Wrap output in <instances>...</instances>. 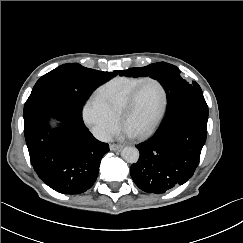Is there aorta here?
<instances>
[{"label": "aorta", "instance_id": "aorta-1", "mask_svg": "<svg viewBox=\"0 0 243 243\" xmlns=\"http://www.w3.org/2000/svg\"><path fill=\"white\" fill-rule=\"evenodd\" d=\"M122 158L128 163H136L139 159V151L136 147L127 146L121 152Z\"/></svg>", "mask_w": 243, "mask_h": 243}]
</instances>
